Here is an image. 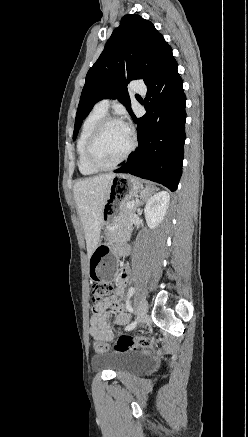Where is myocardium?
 <instances>
[{
	"mask_svg": "<svg viewBox=\"0 0 248 437\" xmlns=\"http://www.w3.org/2000/svg\"><path fill=\"white\" fill-rule=\"evenodd\" d=\"M110 123L122 124V122L118 118L111 117V116H105L96 124V126L94 127L92 133L90 134L88 141H87V144H86V148H85L86 160H87L88 164L97 171H106V170H111V169L115 168L120 163H122L124 160H126L128 158V156L132 153V151L136 147L135 137L131 133H129L130 134V143H129L128 148L125 150V152L115 162H113L109 165H103V164L99 163L96 160L95 155H94L95 145H96L98 138L100 137L102 131L104 130V128Z\"/></svg>",
	"mask_w": 248,
	"mask_h": 437,
	"instance_id": "obj_1",
	"label": "myocardium"
}]
</instances>
